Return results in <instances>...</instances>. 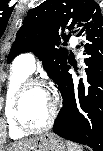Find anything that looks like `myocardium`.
Instances as JSON below:
<instances>
[{
	"label": "myocardium",
	"mask_w": 103,
	"mask_h": 151,
	"mask_svg": "<svg viewBox=\"0 0 103 151\" xmlns=\"http://www.w3.org/2000/svg\"><path fill=\"white\" fill-rule=\"evenodd\" d=\"M32 87H41L43 88L49 98H50V114L46 121V123L39 127V128H32L27 125H25L22 120L20 119L19 110H20V104L21 101L26 94V92L31 89ZM58 107H59V101L53 90L42 80L37 79H27L25 82L22 83V85L19 87L17 92L15 93V96L13 98L12 102V120L15 124V126L24 133H41L51 128L53 125L57 113H58Z\"/></svg>",
	"instance_id": "myocardium-1"
}]
</instances>
